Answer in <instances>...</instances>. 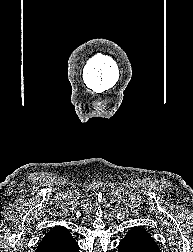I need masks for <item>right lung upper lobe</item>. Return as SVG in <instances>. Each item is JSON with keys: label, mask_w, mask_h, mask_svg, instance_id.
<instances>
[{"label": "right lung upper lobe", "mask_w": 193, "mask_h": 252, "mask_svg": "<svg viewBox=\"0 0 193 252\" xmlns=\"http://www.w3.org/2000/svg\"><path fill=\"white\" fill-rule=\"evenodd\" d=\"M59 229H65L61 226H57V227H54L50 232H48L46 235L50 234L51 232L55 231V230H59Z\"/></svg>", "instance_id": "obj_1"}]
</instances>
